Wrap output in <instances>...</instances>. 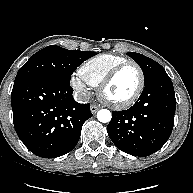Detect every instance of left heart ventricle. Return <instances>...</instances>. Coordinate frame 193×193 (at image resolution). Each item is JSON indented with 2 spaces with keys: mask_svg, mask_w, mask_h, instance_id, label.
Returning <instances> with one entry per match:
<instances>
[{
  "mask_svg": "<svg viewBox=\"0 0 193 193\" xmlns=\"http://www.w3.org/2000/svg\"><path fill=\"white\" fill-rule=\"evenodd\" d=\"M139 74L135 67L129 66L118 73L105 91L107 99L122 102L128 99L137 89Z\"/></svg>",
  "mask_w": 193,
  "mask_h": 193,
  "instance_id": "b2bd125f",
  "label": "left heart ventricle"
}]
</instances>
